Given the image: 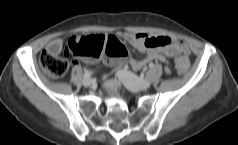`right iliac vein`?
<instances>
[{"mask_svg": "<svg viewBox=\"0 0 238 145\" xmlns=\"http://www.w3.org/2000/svg\"><path fill=\"white\" fill-rule=\"evenodd\" d=\"M93 83V80L91 78H85L83 81H82V84L85 86V87H89L91 86Z\"/></svg>", "mask_w": 238, "mask_h": 145, "instance_id": "right-iliac-vein-1", "label": "right iliac vein"}]
</instances>
